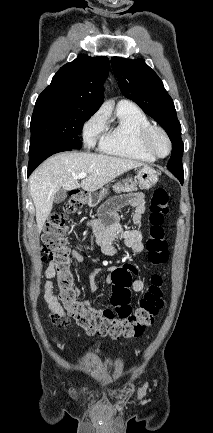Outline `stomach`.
Instances as JSON below:
<instances>
[{
    "label": "stomach",
    "mask_w": 213,
    "mask_h": 433,
    "mask_svg": "<svg viewBox=\"0 0 213 433\" xmlns=\"http://www.w3.org/2000/svg\"><path fill=\"white\" fill-rule=\"evenodd\" d=\"M137 180L141 189L149 190L158 181V173L151 167H142L137 174ZM108 193L106 188L98 189L89 193V203L92 205L98 204Z\"/></svg>",
    "instance_id": "1"
}]
</instances>
